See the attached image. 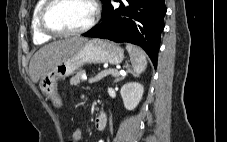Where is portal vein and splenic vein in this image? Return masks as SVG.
<instances>
[{"label":"portal vein and splenic vein","instance_id":"obj_1","mask_svg":"<svg viewBox=\"0 0 227 142\" xmlns=\"http://www.w3.org/2000/svg\"><path fill=\"white\" fill-rule=\"evenodd\" d=\"M116 73H117L116 70H111V69L110 70H105V71L99 73L94 78H90L89 82L90 83L97 82V81L101 80L102 78L106 77L107 75H110V74L115 75Z\"/></svg>","mask_w":227,"mask_h":142}]
</instances>
